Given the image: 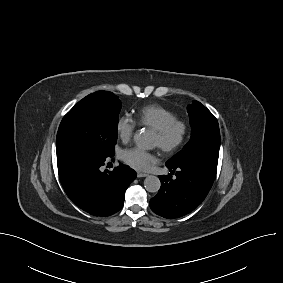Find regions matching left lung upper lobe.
Masks as SVG:
<instances>
[{
	"instance_id": "obj_1",
	"label": "left lung upper lobe",
	"mask_w": 283,
	"mask_h": 283,
	"mask_svg": "<svg viewBox=\"0 0 283 283\" xmlns=\"http://www.w3.org/2000/svg\"><path fill=\"white\" fill-rule=\"evenodd\" d=\"M192 136L183 150L173 156L168 164L196 165L216 176L220 131L217 119L200 102L193 101L188 105Z\"/></svg>"
}]
</instances>
